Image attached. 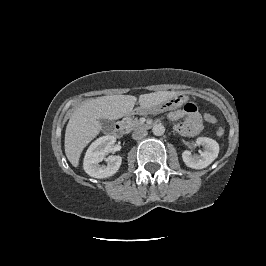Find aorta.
I'll return each instance as SVG.
<instances>
[{
  "label": "aorta",
  "mask_w": 266,
  "mask_h": 266,
  "mask_svg": "<svg viewBox=\"0 0 266 266\" xmlns=\"http://www.w3.org/2000/svg\"><path fill=\"white\" fill-rule=\"evenodd\" d=\"M152 132L155 136H162L165 132V127L161 123L155 124L152 128Z\"/></svg>",
  "instance_id": "1"
}]
</instances>
